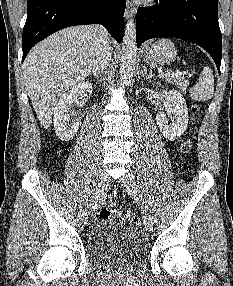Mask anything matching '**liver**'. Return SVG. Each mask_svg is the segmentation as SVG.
<instances>
[{
  "instance_id": "obj_1",
  "label": "liver",
  "mask_w": 233,
  "mask_h": 286,
  "mask_svg": "<svg viewBox=\"0 0 233 286\" xmlns=\"http://www.w3.org/2000/svg\"><path fill=\"white\" fill-rule=\"evenodd\" d=\"M101 37L98 27H70L41 41L27 55L25 86L44 128L52 123L58 98L91 72Z\"/></svg>"
}]
</instances>
